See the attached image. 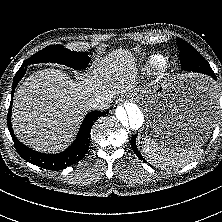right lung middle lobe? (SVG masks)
<instances>
[{
    "label": "right lung middle lobe",
    "instance_id": "dd1d6c3e",
    "mask_svg": "<svg viewBox=\"0 0 222 222\" xmlns=\"http://www.w3.org/2000/svg\"><path fill=\"white\" fill-rule=\"evenodd\" d=\"M90 57L87 52H74L64 48L62 45H51L43 48L28 58L25 63L35 64L42 62H55L80 70L87 67Z\"/></svg>",
    "mask_w": 222,
    "mask_h": 222
}]
</instances>
